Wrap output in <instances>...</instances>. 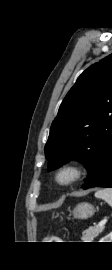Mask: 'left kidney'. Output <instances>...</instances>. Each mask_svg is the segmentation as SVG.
<instances>
[{
	"label": "left kidney",
	"mask_w": 112,
	"mask_h": 270,
	"mask_svg": "<svg viewBox=\"0 0 112 270\" xmlns=\"http://www.w3.org/2000/svg\"><path fill=\"white\" fill-rule=\"evenodd\" d=\"M104 240H109V242H112V232L109 235L102 238L100 242H104Z\"/></svg>",
	"instance_id": "obj_1"
}]
</instances>
